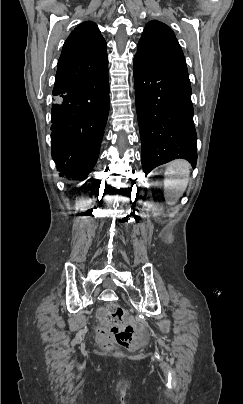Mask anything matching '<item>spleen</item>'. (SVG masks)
<instances>
[{
	"mask_svg": "<svg viewBox=\"0 0 243 404\" xmlns=\"http://www.w3.org/2000/svg\"><path fill=\"white\" fill-rule=\"evenodd\" d=\"M189 164L186 160H174L167 166L164 182L165 190H185L189 178Z\"/></svg>",
	"mask_w": 243,
	"mask_h": 404,
	"instance_id": "3e777b00",
	"label": "spleen"
}]
</instances>
